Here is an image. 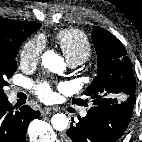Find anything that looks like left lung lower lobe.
Masks as SVG:
<instances>
[{
  "mask_svg": "<svg viewBox=\"0 0 142 142\" xmlns=\"http://www.w3.org/2000/svg\"><path fill=\"white\" fill-rule=\"evenodd\" d=\"M133 105L119 103L90 108L86 117H78L79 121L71 124L63 141L116 142L129 125Z\"/></svg>",
  "mask_w": 142,
  "mask_h": 142,
  "instance_id": "1",
  "label": "left lung lower lobe"
}]
</instances>
